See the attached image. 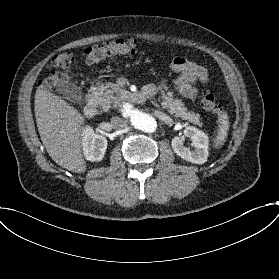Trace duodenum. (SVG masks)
Listing matches in <instances>:
<instances>
[{
	"mask_svg": "<svg viewBox=\"0 0 279 279\" xmlns=\"http://www.w3.org/2000/svg\"><path fill=\"white\" fill-rule=\"evenodd\" d=\"M146 97L147 93L145 91L131 92L125 90L121 93V99L129 103H141ZM83 112L87 117L95 116L97 113V102L94 99H89L83 108Z\"/></svg>",
	"mask_w": 279,
	"mask_h": 279,
	"instance_id": "1",
	"label": "duodenum"
}]
</instances>
